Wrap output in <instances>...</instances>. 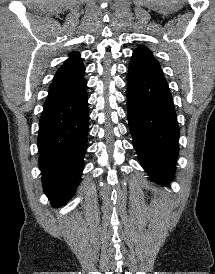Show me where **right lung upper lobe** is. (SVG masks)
Wrapping results in <instances>:
<instances>
[{"mask_svg": "<svg viewBox=\"0 0 215 274\" xmlns=\"http://www.w3.org/2000/svg\"><path fill=\"white\" fill-rule=\"evenodd\" d=\"M84 72L80 54L72 52L55 74L44 107L57 104L80 90L86 83Z\"/></svg>", "mask_w": 215, "mask_h": 274, "instance_id": "cb5924a9", "label": "right lung upper lobe"}]
</instances>
